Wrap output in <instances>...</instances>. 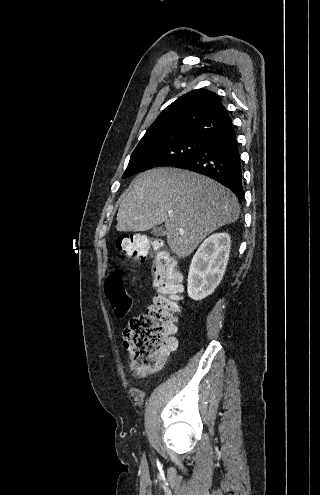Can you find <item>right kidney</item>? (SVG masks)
Segmentation results:
<instances>
[{
	"label": "right kidney",
	"mask_w": 320,
	"mask_h": 495,
	"mask_svg": "<svg viewBox=\"0 0 320 495\" xmlns=\"http://www.w3.org/2000/svg\"><path fill=\"white\" fill-rule=\"evenodd\" d=\"M231 240L227 233H215L203 241L191 261L188 296L200 301L212 294L228 264Z\"/></svg>",
	"instance_id": "1"
}]
</instances>
